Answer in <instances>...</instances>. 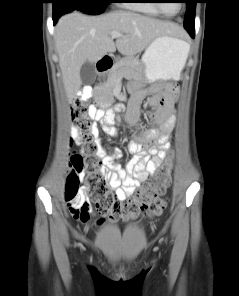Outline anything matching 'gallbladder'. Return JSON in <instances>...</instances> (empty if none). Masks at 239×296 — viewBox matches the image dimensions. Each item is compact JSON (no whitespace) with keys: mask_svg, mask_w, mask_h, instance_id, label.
Listing matches in <instances>:
<instances>
[{"mask_svg":"<svg viewBox=\"0 0 239 296\" xmlns=\"http://www.w3.org/2000/svg\"><path fill=\"white\" fill-rule=\"evenodd\" d=\"M81 80L85 84H90L95 79V67L93 63L85 62L80 70Z\"/></svg>","mask_w":239,"mask_h":296,"instance_id":"gallbladder-1","label":"gallbladder"}]
</instances>
